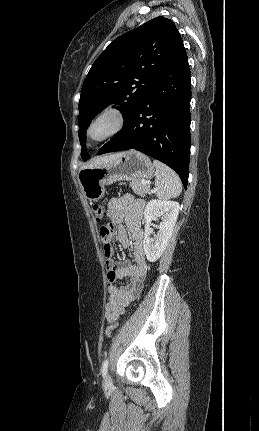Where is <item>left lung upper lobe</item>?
Here are the masks:
<instances>
[{
  "label": "left lung upper lobe",
  "instance_id": "5c2ea615",
  "mask_svg": "<svg viewBox=\"0 0 259 431\" xmlns=\"http://www.w3.org/2000/svg\"><path fill=\"white\" fill-rule=\"evenodd\" d=\"M183 45L175 24L156 17L112 41L86 76L79 100L81 156L86 152V129L94 116L116 103L124 120L149 93L161 72Z\"/></svg>",
  "mask_w": 259,
  "mask_h": 431
}]
</instances>
